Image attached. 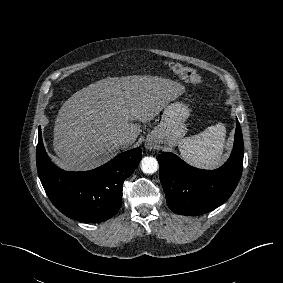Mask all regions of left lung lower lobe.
Listing matches in <instances>:
<instances>
[{"mask_svg": "<svg viewBox=\"0 0 283 283\" xmlns=\"http://www.w3.org/2000/svg\"><path fill=\"white\" fill-rule=\"evenodd\" d=\"M234 147L227 162L216 170H201L173 153L161 152L160 181L169 208L176 214L201 215L222 205L235 190L243 169L242 130L236 121Z\"/></svg>", "mask_w": 283, "mask_h": 283, "instance_id": "left-lung-lower-lobe-1", "label": "left lung lower lobe"}]
</instances>
